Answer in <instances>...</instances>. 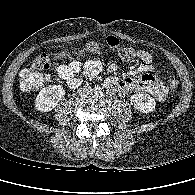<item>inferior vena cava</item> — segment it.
<instances>
[{"mask_svg":"<svg viewBox=\"0 0 195 195\" xmlns=\"http://www.w3.org/2000/svg\"><path fill=\"white\" fill-rule=\"evenodd\" d=\"M92 92L93 91H92V88L91 87L85 86V87H83V88L80 89V94L83 95V96L90 95V94H92Z\"/></svg>","mask_w":195,"mask_h":195,"instance_id":"602c4592","label":"inferior vena cava"}]
</instances>
